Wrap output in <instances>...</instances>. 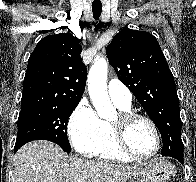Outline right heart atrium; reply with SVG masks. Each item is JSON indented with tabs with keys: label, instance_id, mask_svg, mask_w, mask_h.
<instances>
[{
	"label": "right heart atrium",
	"instance_id": "right-heart-atrium-1",
	"mask_svg": "<svg viewBox=\"0 0 196 182\" xmlns=\"http://www.w3.org/2000/svg\"><path fill=\"white\" fill-rule=\"evenodd\" d=\"M68 133L74 148L83 155L92 153L101 136V120L87 101H81L68 121Z\"/></svg>",
	"mask_w": 196,
	"mask_h": 182
}]
</instances>
